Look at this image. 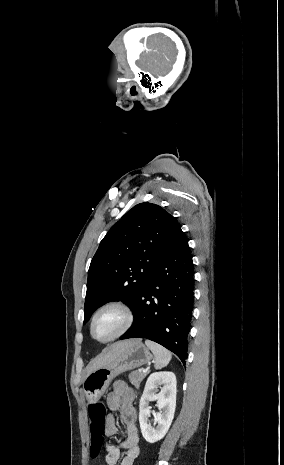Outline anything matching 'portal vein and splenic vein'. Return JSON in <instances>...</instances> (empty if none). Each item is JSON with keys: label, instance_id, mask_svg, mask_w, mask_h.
<instances>
[{"label": "portal vein and splenic vein", "instance_id": "1", "mask_svg": "<svg viewBox=\"0 0 284 465\" xmlns=\"http://www.w3.org/2000/svg\"><path fill=\"white\" fill-rule=\"evenodd\" d=\"M148 371V369H146ZM145 369H139V373H146Z\"/></svg>", "mask_w": 284, "mask_h": 465}]
</instances>
